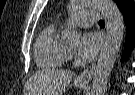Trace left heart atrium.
Returning <instances> with one entry per match:
<instances>
[{
  "label": "left heart atrium",
  "instance_id": "39dd6f15",
  "mask_svg": "<svg viewBox=\"0 0 135 95\" xmlns=\"http://www.w3.org/2000/svg\"><path fill=\"white\" fill-rule=\"evenodd\" d=\"M101 36L97 33L86 32L81 38L78 46V56L85 61L92 60L99 52Z\"/></svg>",
  "mask_w": 135,
  "mask_h": 95
}]
</instances>
